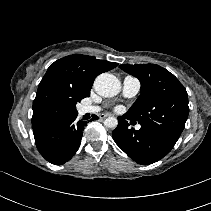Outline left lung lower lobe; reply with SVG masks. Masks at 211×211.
<instances>
[{
	"instance_id": "1",
	"label": "left lung lower lobe",
	"mask_w": 211,
	"mask_h": 211,
	"mask_svg": "<svg viewBox=\"0 0 211 211\" xmlns=\"http://www.w3.org/2000/svg\"><path fill=\"white\" fill-rule=\"evenodd\" d=\"M131 120L125 113L118 117V126L112 133L116 144L138 164L148 165L166 156L176 141L150 127L141 126L139 130L129 127Z\"/></svg>"
}]
</instances>
